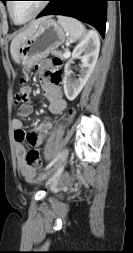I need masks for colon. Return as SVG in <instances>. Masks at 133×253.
<instances>
[{
	"mask_svg": "<svg viewBox=\"0 0 133 253\" xmlns=\"http://www.w3.org/2000/svg\"><path fill=\"white\" fill-rule=\"evenodd\" d=\"M60 63L61 62L59 59L54 60V64L56 66H59ZM29 97H30V89L28 85H26V83L22 81L19 90L15 94V102L19 105H26L29 103ZM68 115L70 119L73 118V116L75 115V110L70 109ZM66 123L67 125H74L75 122L73 119H71V120H67ZM27 162L36 172L39 171L42 167V162H41L39 153L35 150L30 151L27 154Z\"/></svg>",
	"mask_w": 133,
	"mask_h": 253,
	"instance_id": "5ec220e1",
	"label": "colon"
}]
</instances>
